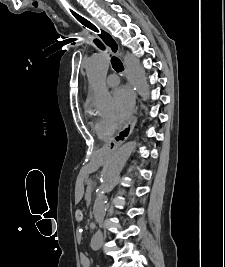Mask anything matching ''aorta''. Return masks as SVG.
I'll return each mask as SVG.
<instances>
[{
	"instance_id": "762f6f07",
	"label": "aorta",
	"mask_w": 225,
	"mask_h": 267,
	"mask_svg": "<svg viewBox=\"0 0 225 267\" xmlns=\"http://www.w3.org/2000/svg\"><path fill=\"white\" fill-rule=\"evenodd\" d=\"M124 64L131 84L137 93L147 100L150 95L149 85L143 68L137 58L126 54ZM109 69V60L105 54L99 53L90 57L86 64V72L93 90L92 105L99 112L108 111L113 104L112 97L107 90L105 79ZM135 148V142H127L122 145L112 156L101 176V184L93 206L95 221L102 226L106 214V194L115 186L117 178ZM103 243V234L98 230L91 240L92 249H98Z\"/></svg>"
}]
</instances>
